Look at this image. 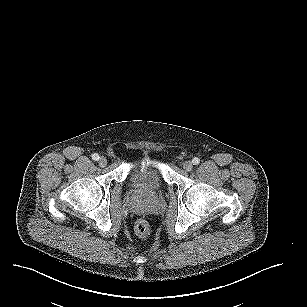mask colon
Segmentation results:
<instances>
[{"instance_id": "colon-1", "label": "colon", "mask_w": 307, "mask_h": 307, "mask_svg": "<svg viewBox=\"0 0 307 307\" xmlns=\"http://www.w3.org/2000/svg\"><path fill=\"white\" fill-rule=\"evenodd\" d=\"M135 234L142 239L147 238L150 235L151 227L145 218H140L135 222L134 225Z\"/></svg>"}]
</instances>
